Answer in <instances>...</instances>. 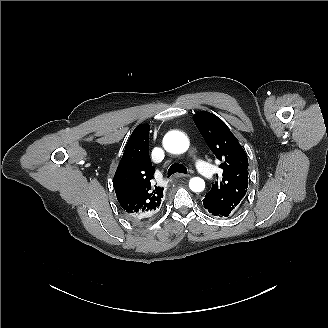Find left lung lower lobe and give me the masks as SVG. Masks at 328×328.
I'll return each instance as SVG.
<instances>
[{"label": "left lung lower lobe", "instance_id": "0a47b994", "mask_svg": "<svg viewBox=\"0 0 328 328\" xmlns=\"http://www.w3.org/2000/svg\"><path fill=\"white\" fill-rule=\"evenodd\" d=\"M204 207L208 210L209 213H211L212 215H219L218 213H216L215 211L211 210V208H209L205 203H203Z\"/></svg>", "mask_w": 328, "mask_h": 328}]
</instances>
